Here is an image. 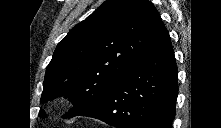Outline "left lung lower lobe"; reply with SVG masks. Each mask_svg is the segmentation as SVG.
<instances>
[{
  "label": "left lung lower lobe",
  "mask_w": 221,
  "mask_h": 128,
  "mask_svg": "<svg viewBox=\"0 0 221 128\" xmlns=\"http://www.w3.org/2000/svg\"><path fill=\"white\" fill-rule=\"evenodd\" d=\"M177 95V66L165 29L101 101L77 116L116 128H171Z\"/></svg>",
  "instance_id": "obj_1"
}]
</instances>
